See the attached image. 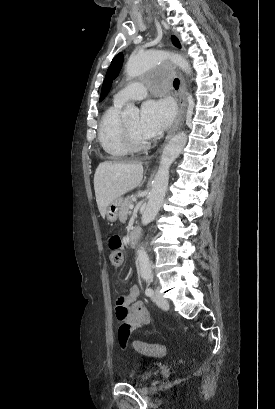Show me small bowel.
Instances as JSON below:
<instances>
[{
    "mask_svg": "<svg viewBox=\"0 0 275 409\" xmlns=\"http://www.w3.org/2000/svg\"><path fill=\"white\" fill-rule=\"evenodd\" d=\"M139 294L137 285L131 286L124 297H119L117 305L113 307L116 317L121 320L120 334L118 335L117 345L122 354H127L129 349V335L133 328H142L150 324L151 316L147 307L141 303L130 302ZM130 324V325H128Z\"/></svg>",
    "mask_w": 275,
    "mask_h": 409,
    "instance_id": "1",
    "label": "small bowel"
}]
</instances>
